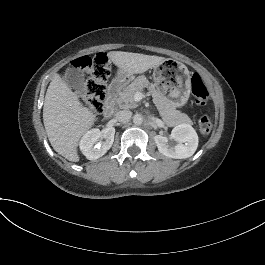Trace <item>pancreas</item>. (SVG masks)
<instances>
[{"instance_id":"obj_1","label":"pancreas","mask_w":265,"mask_h":265,"mask_svg":"<svg viewBox=\"0 0 265 265\" xmlns=\"http://www.w3.org/2000/svg\"><path fill=\"white\" fill-rule=\"evenodd\" d=\"M145 87L148 88L152 95L153 102L166 125L172 127L180 123H192L191 119L186 114L177 110L176 104L162 95L160 91L156 90L155 86L150 84L145 76L137 77L129 86L119 93L118 104L120 105V108H136L138 104L134 100V94L137 91H143Z\"/></svg>"}]
</instances>
